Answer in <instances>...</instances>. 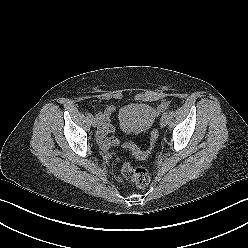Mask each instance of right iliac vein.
Masks as SVG:
<instances>
[{"label": "right iliac vein", "mask_w": 248, "mask_h": 248, "mask_svg": "<svg viewBox=\"0 0 248 248\" xmlns=\"http://www.w3.org/2000/svg\"><path fill=\"white\" fill-rule=\"evenodd\" d=\"M91 124H92L93 127H97L98 122H97V119L95 117L91 118Z\"/></svg>", "instance_id": "right-iliac-vein-1"}]
</instances>
